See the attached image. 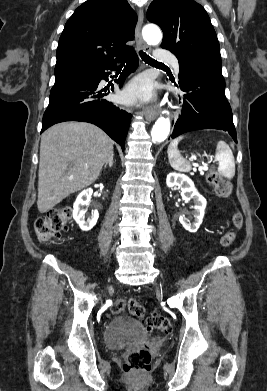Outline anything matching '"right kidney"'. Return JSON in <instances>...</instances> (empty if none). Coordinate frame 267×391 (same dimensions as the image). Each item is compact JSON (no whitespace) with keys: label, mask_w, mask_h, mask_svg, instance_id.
Returning <instances> with one entry per match:
<instances>
[{"label":"right kidney","mask_w":267,"mask_h":391,"mask_svg":"<svg viewBox=\"0 0 267 391\" xmlns=\"http://www.w3.org/2000/svg\"><path fill=\"white\" fill-rule=\"evenodd\" d=\"M93 190L91 188L83 190L78 196L73 205V218L83 231L91 230L99 217L97 210L91 212L90 215H86L87 209L85 206L90 204Z\"/></svg>","instance_id":"1"}]
</instances>
